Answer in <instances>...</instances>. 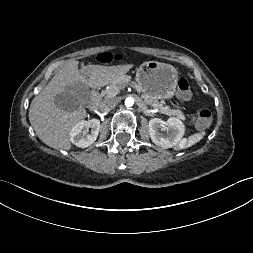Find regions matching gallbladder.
<instances>
[{
    "mask_svg": "<svg viewBox=\"0 0 253 253\" xmlns=\"http://www.w3.org/2000/svg\"><path fill=\"white\" fill-rule=\"evenodd\" d=\"M89 101V89L81 83H78L75 87H70L66 92L56 94L54 99L55 105L66 111H74L79 104H87Z\"/></svg>",
    "mask_w": 253,
    "mask_h": 253,
    "instance_id": "obj_1",
    "label": "gallbladder"
}]
</instances>
